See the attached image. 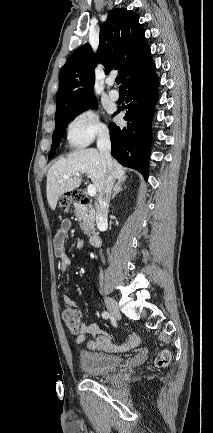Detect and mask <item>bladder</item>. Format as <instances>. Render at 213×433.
<instances>
[{
	"label": "bladder",
	"mask_w": 213,
	"mask_h": 433,
	"mask_svg": "<svg viewBox=\"0 0 213 433\" xmlns=\"http://www.w3.org/2000/svg\"><path fill=\"white\" fill-rule=\"evenodd\" d=\"M122 359L117 355L103 352L82 350L79 363L82 371L93 377L106 376L118 369Z\"/></svg>",
	"instance_id": "31cf9c89"
}]
</instances>
